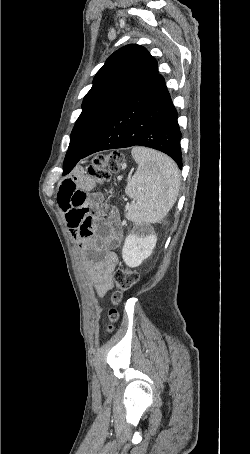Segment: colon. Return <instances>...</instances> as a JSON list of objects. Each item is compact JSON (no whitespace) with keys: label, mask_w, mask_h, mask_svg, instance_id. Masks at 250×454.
Listing matches in <instances>:
<instances>
[{"label":"colon","mask_w":250,"mask_h":454,"mask_svg":"<svg viewBox=\"0 0 250 454\" xmlns=\"http://www.w3.org/2000/svg\"><path fill=\"white\" fill-rule=\"evenodd\" d=\"M123 155L119 151H113L109 154L98 155L92 164L88 167V175L97 183H106L109 181L111 174L117 172L122 164ZM110 193V191H108ZM107 205L105 204L100 212V215L105 214ZM113 280L116 284L117 291L113 293L111 300L117 305L122 298L124 292L134 287L139 280V273L135 268L124 267L117 269L114 272ZM111 323L117 321L119 314L115 308L109 312ZM112 329V325L109 327Z\"/></svg>","instance_id":"5ec220e1"}]
</instances>
